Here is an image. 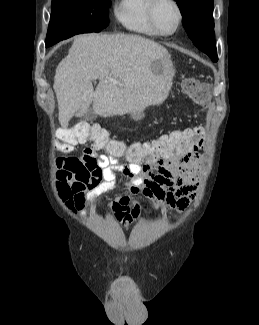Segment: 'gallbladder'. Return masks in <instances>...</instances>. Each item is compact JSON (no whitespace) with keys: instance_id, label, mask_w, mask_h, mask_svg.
Returning a JSON list of instances; mask_svg holds the SVG:
<instances>
[{"instance_id":"obj_1","label":"gallbladder","mask_w":259,"mask_h":325,"mask_svg":"<svg viewBox=\"0 0 259 325\" xmlns=\"http://www.w3.org/2000/svg\"><path fill=\"white\" fill-rule=\"evenodd\" d=\"M86 116L88 117L89 120H93L94 118H96L95 114L92 112V110L89 108Z\"/></svg>"}]
</instances>
